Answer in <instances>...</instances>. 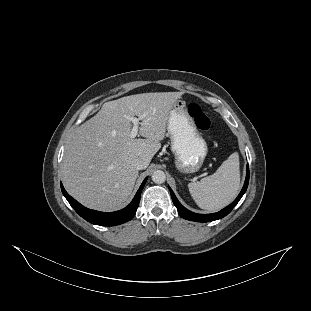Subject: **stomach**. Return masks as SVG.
<instances>
[{
  "label": "stomach",
  "instance_id": "1",
  "mask_svg": "<svg viewBox=\"0 0 311 311\" xmlns=\"http://www.w3.org/2000/svg\"><path fill=\"white\" fill-rule=\"evenodd\" d=\"M166 129L177 170L183 174L197 172L207 156L208 146L190 116L184 100L178 99L173 104Z\"/></svg>",
  "mask_w": 311,
  "mask_h": 311
}]
</instances>
